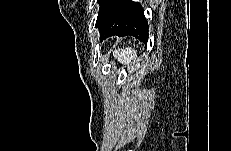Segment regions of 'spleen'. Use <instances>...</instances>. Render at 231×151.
Here are the masks:
<instances>
[{
  "instance_id": "spleen-1",
  "label": "spleen",
  "mask_w": 231,
  "mask_h": 151,
  "mask_svg": "<svg viewBox=\"0 0 231 151\" xmlns=\"http://www.w3.org/2000/svg\"><path fill=\"white\" fill-rule=\"evenodd\" d=\"M113 56L124 65H130L137 60L136 50L130 47L115 50Z\"/></svg>"
}]
</instances>
